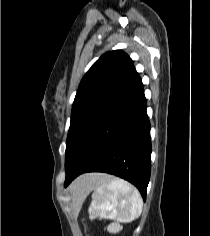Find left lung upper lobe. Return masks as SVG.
Here are the masks:
<instances>
[{
  "label": "left lung upper lobe",
  "instance_id": "obj_1",
  "mask_svg": "<svg viewBox=\"0 0 210 236\" xmlns=\"http://www.w3.org/2000/svg\"><path fill=\"white\" fill-rule=\"evenodd\" d=\"M138 77L132 59L122 50L107 52L92 65L72 106L65 159L82 131Z\"/></svg>",
  "mask_w": 210,
  "mask_h": 236
}]
</instances>
